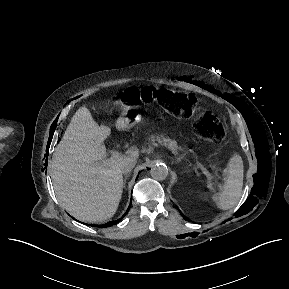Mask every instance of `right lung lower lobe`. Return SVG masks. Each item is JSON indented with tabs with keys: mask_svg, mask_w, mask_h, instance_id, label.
<instances>
[{
	"mask_svg": "<svg viewBox=\"0 0 289 289\" xmlns=\"http://www.w3.org/2000/svg\"><path fill=\"white\" fill-rule=\"evenodd\" d=\"M129 209H130V207L128 208V210L126 211V213H125L123 216H125V215L127 214V212L129 211ZM123 216H122V218H123ZM122 218H120V219H122ZM120 219H118V220H116V221H113V222H110L109 224L103 225V227L112 226V225L116 224Z\"/></svg>",
	"mask_w": 289,
	"mask_h": 289,
	"instance_id": "98d812e1",
	"label": "right lung lower lobe"
}]
</instances>
